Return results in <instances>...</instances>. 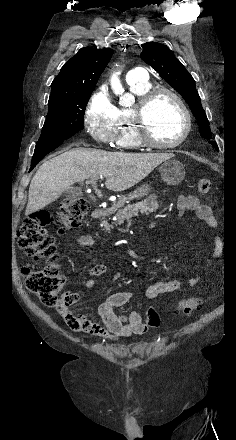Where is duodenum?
I'll return each instance as SVG.
<instances>
[{
    "mask_svg": "<svg viewBox=\"0 0 236 440\" xmlns=\"http://www.w3.org/2000/svg\"><path fill=\"white\" fill-rule=\"evenodd\" d=\"M107 213H108V209L100 206V207H97L93 210L92 217L94 219H100V218L106 216Z\"/></svg>",
    "mask_w": 236,
    "mask_h": 440,
    "instance_id": "1",
    "label": "duodenum"
}]
</instances>
